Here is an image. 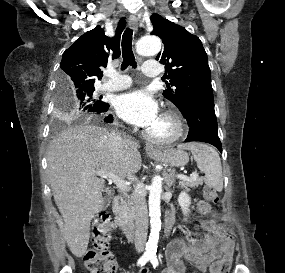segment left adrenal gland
<instances>
[{"instance_id":"1","label":"left adrenal gland","mask_w":285,"mask_h":273,"mask_svg":"<svg viewBox=\"0 0 285 273\" xmlns=\"http://www.w3.org/2000/svg\"><path fill=\"white\" fill-rule=\"evenodd\" d=\"M175 182V170H172L167 179L168 187H171Z\"/></svg>"}]
</instances>
